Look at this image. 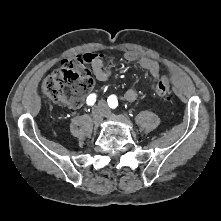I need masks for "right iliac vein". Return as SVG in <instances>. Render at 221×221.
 Segmentation results:
<instances>
[{
	"instance_id": "1",
	"label": "right iliac vein",
	"mask_w": 221,
	"mask_h": 221,
	"mask_svg": "<svg viewBox=\"0 0 221 221\" xmlns=\"http://www.w3.org/2000/svg\"><path fill=\"white\" fill-rule=\"evenodd\" d=\"M104 116V108L102 106H98L92 111V119L95 126H99L103 120Z\"/></svg>"
}]
</instances>
